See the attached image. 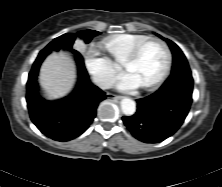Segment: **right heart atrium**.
<instances>
[{
    "label": "right heart atrium",
    "mask_w": 222,
    "mask_h": 187,
    "mask_svg": "<svg viewBox=\"0 0 222 187\" xmlns=\"http://www.w3.org/2000/svg\"><path fill=\"white\" fill-rule=\"evenodd\" d=\"M84 64L93 80L102 88L109 87L120 71V68L94 45L89 46L85 51Z\"/></svg>",
    "instance_id": "1"
}]
</instances>
